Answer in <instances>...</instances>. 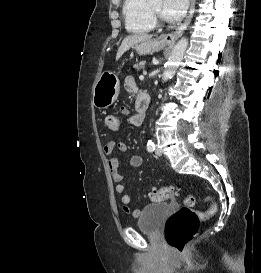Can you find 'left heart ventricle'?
I'll return each mask as SVG.
<instances>
[{"instance_id": "left-heart-ventricle-1", "label": "left heart ventricle", "mask_w": 261, "mask_h": 273, "mask_svg": "<svg viewBox=\"0 0 261 273\" xmlns=\"http://www.w3.org/2000/svg\"><path fill=\"white\" fill-rule=\"evenodd\" d=\"M153 7L158 10V12L163 16L162 7H163V0H151Z\"/></svg>"}]
</instances>
